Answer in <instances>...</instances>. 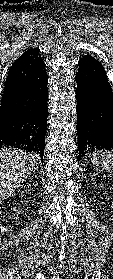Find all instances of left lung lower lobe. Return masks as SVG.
Returning <instances> with one entry per match:
<instances>
[{
	"instance_id": "0a47b994",
	"label": "left lung lower lobe",
	"mask_w": 113,
	"mask_h": 279,
	"mask_svg": "<svg viewBox=\"0 0 113 279\" xmlns=\"http://www.w3.org/2000/svg\"><path fill=\"white\" fill-rule=\"evenodd\" d=\"M76 75L79 159L92 149H113V92L102 64L82 57Z\"/></svg>"
}]
</instances>
